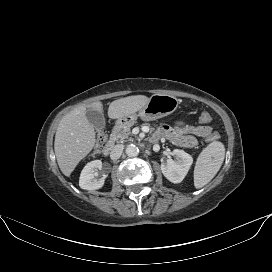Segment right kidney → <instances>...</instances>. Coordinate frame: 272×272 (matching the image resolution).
Segmentation results:
<instances>
[{"instance_id":"right-kidney-1","label":"right kidney","mask_w":272,"mask_h":272,"mask_svg":"<svg viewBox=\"0 0 272 272\" xmlns=\"http://www.w3.org/2000/svg\"><path fill=\"white\" fill-rule=\"evenodd\" d=\"M101 169L102 162L100 160L87 163L80 174L79 186L85 190H96L103 187L104 178H98V172Z\"/></svg>"}]
</instances>
